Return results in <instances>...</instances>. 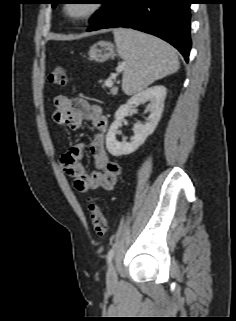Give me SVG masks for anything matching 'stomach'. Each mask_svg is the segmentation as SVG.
Here are the masks:
<instances>
[{"mask_svg": "<svg viewBox=\"0 0 236 321\" xmlns=\"http://www.w3.org/2000/svg\"><path fill=\"white\" fill-rule=\"evenodd\" d=\"M114 45L108 41H99L89 49V56L96 62H104L115 57Z\"/></svg>", "mask_w": 236, "mask_h": 321, "instance_id": "1", "label": "stomach"}]
</instances>
